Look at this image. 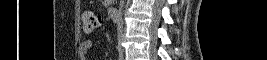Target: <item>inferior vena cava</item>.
I'll return each mask as SVG.
<instances>
[{
  "label": "inferior vena cava",
  "mask_w": 267,
  "mask_h": 60,
  "mask_svg": "<svg viewBox=\"0 0 267 60\" xmlns=\"http://www.w3.org/2000/svg\"><path fill=\"white\" fill-rule=\"evenodd\" d=\"M122 10L119 9V20H118V36L121 37L123 33V20H122ZM120 53L122 54V51L120 50Z\"/></svg>",
  "instance_id": "1"
}]
</instances>
